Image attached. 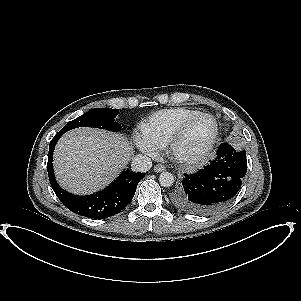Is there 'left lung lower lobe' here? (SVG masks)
<instances>
[{
	"mask_svg": "<svg viewBox=\"0 0 301 301\" xmlns=\"http://www.w3.org/2000/svg\"><path fill=\"white\" fill-rule=\"evenodd\" d=\"M246 170V152H236L222 143L215 160L193 175L185 174L172 201L175 206L187 212L210 214L235 198Z\"/></svg>",
	"mask_w": 301,
	"mask_h": 301,
	"instance_id": "left-lung-lower-lobe-1",
	"label": "left lung lower lobe"
}]
</instances>
